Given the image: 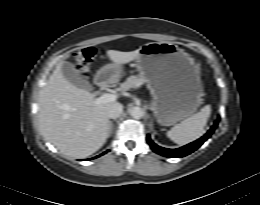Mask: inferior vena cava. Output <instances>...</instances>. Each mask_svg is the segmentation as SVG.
Segmentation results:
<instances>
[{"label":"inferior vena cava","instance_id":"1","mask_svg":"<svg viewBox=\"0 0 260 205\" xmlns=\"http://www.w3.org/2000/svg\"><path fill=\"white\" fill-rule=\"evenodd\" d=\"M123 112V106L120 103L111 105L107 110L108 118H118Z\"/></svg>","mask_w":260,"mask_h":205}]
</instances>
